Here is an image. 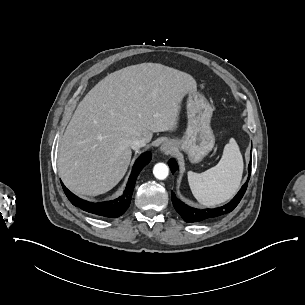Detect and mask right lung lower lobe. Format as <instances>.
Instances as JSON below:
<instances>
[{
    "instance_id": "1",
    "label": "right lung lower lobe",
    "mask_w": 305,
    "mask_h": 305,
    "mask_svg": "<svg viewBox=\"0 0 305 305\" xmlns=\"http://www.w3.org/2000/svg\"><path fill=\"white\" fill-rule=\"evenodd\" d=\"M151 157V153L146 152L136 160L123 195L115 200L101 203H90L75 196L62 184L64 192L73 205L87 212L105 217H118L129 207L136 178L144 166L150 162Z\"/></svg>"
}]
</instances>
